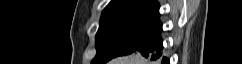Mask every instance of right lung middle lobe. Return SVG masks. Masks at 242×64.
<instances>
[{
  "mask_svg": "<svg viewBox=\"0 0 242 64\" xmlns=\"http://www.w3.org/2000/svg\"><path fill=\"white\" fill-rule=\"evenodd\" d=\"M161 27L159 13H120L101 18L96 34L97 53L91 64H105L138 50Z\"/></svg>",
  "mask_w": 242,
  "mask_h": 64,
  "instance_id": "right-lung-middle-lobe-1",
  "label": "right lung middle lobe"
}]
</instances>
